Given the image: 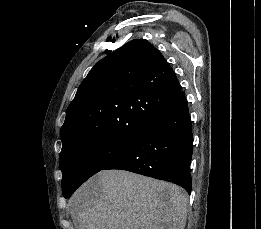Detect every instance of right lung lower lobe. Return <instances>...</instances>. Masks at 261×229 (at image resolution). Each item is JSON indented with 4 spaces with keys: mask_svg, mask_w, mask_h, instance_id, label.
<instances>
[{
    "mask_svg": "<svg viewBox=\"0 0 261 229\" xmlns=\"http://www.w3.org/2000/svg\"><path fill=\"white\" fill-rule=\"evenodd\" d=\"M192 121L181 91L175 100L105 169H121L172 182L191 192Z\"/></svg>",
    "mask_w": 261,
    "mask_h": 229,
    "instance_id": "98d812e1",
    "label": "right lung lower lobe"
}]
</instances>
